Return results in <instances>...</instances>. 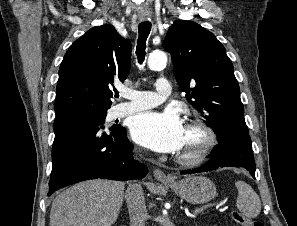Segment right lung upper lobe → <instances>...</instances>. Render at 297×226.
I'll use <instances>...</instances> for the list:
<instances>
[{"label": "right lung upper lobe", "instance_id": "obj_1", "mask_svg": "<svg viewBox=\"0 0 297 226\" xmlns=\"http://www.w3.org/2000/svg\"><path fill=\"white\" fill-rule=\"evenodd\" d=\"M131 43L114 26L88 30L66 52L56 87V117L80 110H107L112 102L109 85L124 81L130 71Z\"/></svg>", "mask_w": 297, "mask_h": 226}]
</instances>
